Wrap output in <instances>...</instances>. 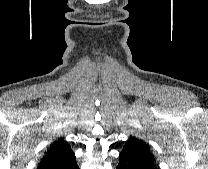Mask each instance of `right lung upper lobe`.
<instances>
[{
    "label": "right lung upper lobe",
    "instance_id": "obj_1",
    "mask_svg": "<svg viewBox=\"0 0 208 169\" xmlns=\"http://www.w3.org/2000/svg\"><path fill=\"white\" fill-rule=\"evenodd\" d=\"M75 159V154L64 139L53 142L41 159L37 169H55Z\"/></svg>",
    "mask_w": 208,
    "mask_h": 169
}]
</instances>
